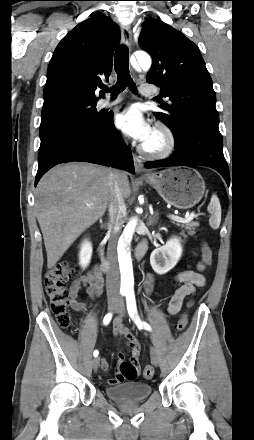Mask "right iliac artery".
Here are the masks:
<instances>
[{
    "instance_id": "obj_1",
    "label": "right iliac artery",
    "mask_w": 254,
    "mask_h": 440,
    "mask_svg": "<svg viewBox=\"0 0 254 440\" xmlns=\"http://www.w3.org/2000/svg\"><path fill=\"white\" fill-rule=\"evenodd\" d=\"M111 319H112V313H108L107 315H105V317H104V319H103V323H104V325L109 324V322L111 321ZM98 354H99L98 350H95L94 353H93L94 357H97Z\"/></svg>"
}]
</instances>
